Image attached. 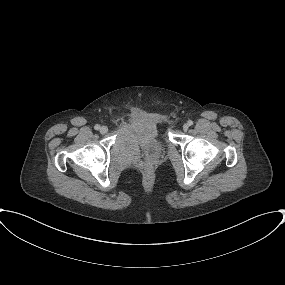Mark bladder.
Returning <instances> with one entry per match:
<instances>
[{
    "label": "bladder",
    "instance_id": "31cf9c89",
    "mask_svg": "<svg viewBox=\"0 0 285 285\" xmlns=\"http://www.w3.org/2000/svg\"><path fill=\"white\" fill-rule=\"evenodd\" d=\"M164 143V139L157 127H152L150 131V140L148 147L151 151L159 150Z\"/></svg>",
    "mask_w": 285,
    "mask_h": 285
}]
</instances>
